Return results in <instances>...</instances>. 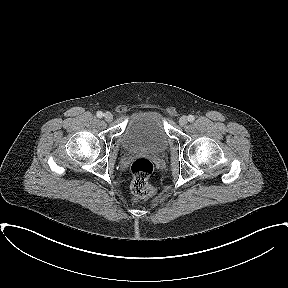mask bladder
<instances>
[{"label":"bladder","mask_w":288,"mask_h":288,"mask_svg":"<svg viewBox=\"0 0 288 288\" xmlns=\"http://www.w3.org/2000/svg\"><path fill=\"white\" fill-rule=\"evenodd\" d=\"M122 146L127 151L161 153L168 146L162 115L155 110L133 113L122 134Z\"/></svg>","instance_id":"31cf9c89"}]
</instances>
